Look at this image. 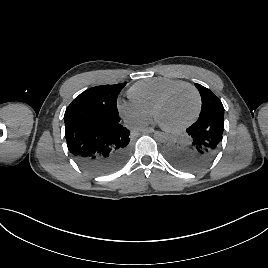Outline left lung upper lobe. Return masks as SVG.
<instances>
[{
  "label": "left lung upper lobe",
  "instance_id": "1",
  "mask_svg": "<svg viewBox=\"0 0 268 268\" xmlns=\"http://www.w3.org/2000/svg\"><path fill=\"white\" fill-rule=\"evenodd\" d=\"M195 86L199 90L202 99V108L198 120L224 118V107L220 99L204 86L197 83Z\"/></svg>",
  "mask_w": 268,
  "mask_h": 268
}]
</instances>
